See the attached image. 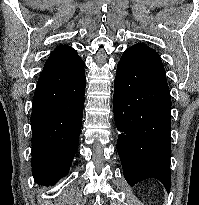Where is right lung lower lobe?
Instances as JSON below:
<instances>
[{"instance_id":"right-lung-lower-lobe-1","label":"right lung lower lobe","mask_w":199,"mask_h":205,"mask_svg":"<svg viewBox=\"0 0 199 205\" xmlns=\"http://www.w3.org/2000/svg\"><path fill=\"white\" fill-rule=\"evenodd\" d=\"M85 79L82 70L55 86L47 78L38 80L30 120L32 174L39 185H54L69 171L78 149Z\"/></svg>"}]
</instances>
